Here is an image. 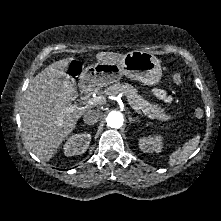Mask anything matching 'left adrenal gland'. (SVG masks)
Returning a JSON list of instances; mask_svg holds the SVG:
<instances>
[{"instance_id":"left-adrenal-gland-1","label":"left adrenal gland","mask_w":221,"mask_h":221,"mask_svg":"<svg viewBox=\"0 0 221 221\" xmlns=\"http://www.w3.org/2000/svg\"><path fill=\"white\" fill-rule=\"evenodd\" d=\"M135 122H138V118H133L129 115V123H135Z\"/></svg>"}]
</instances>
